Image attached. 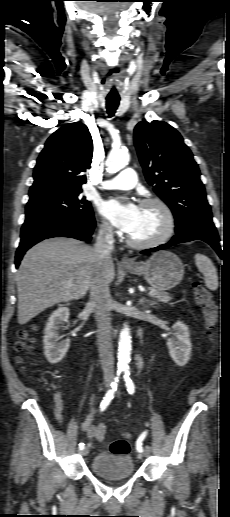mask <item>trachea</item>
<instances>
[{
	"label": "trachea",
	"mask_w": 230,
	"mask_h": 517,
	"mask_svg": "<svg viewBox=\"0 0 230 517\" xmlns=\"http://www.w3.org/2000/svg\"><path fill=\"white\" fill-rule=\"evenodd\" d=\"M120 102V97L108 95L106 97V109L109 117L114 116Z\"/></svg>",
	"instance_id": "trachea-1"
}]
</instances>
